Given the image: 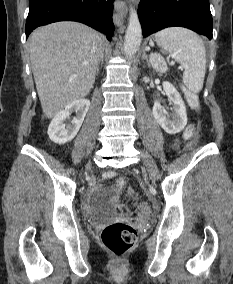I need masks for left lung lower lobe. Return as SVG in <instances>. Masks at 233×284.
Wrapping results in <instances>:
<instances>
[{
	"label": "left lung lower lobe",
	"instance_id": "obj_1",
	"mask_svg": "<svg viewBox=\"0 0 233 284\" xmlns=\"http://www.w3.org/2000/svg\"><path fill=\"white\" fill-rule=\"evenodd\" d=\"M138 16L143 37L167 27H185L212 39L209 0H141Z\"/></svg>",
	"mask_w": 233,
	"mask_h": 284
}]
</instances>
